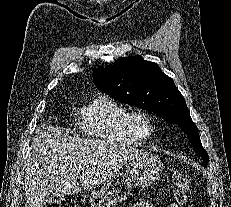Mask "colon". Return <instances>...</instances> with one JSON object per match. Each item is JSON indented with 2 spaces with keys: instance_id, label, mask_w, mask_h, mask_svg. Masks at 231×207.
Here are the masks:
<instances>
[{
  "instance_id": "5ec220e1",
  "label": "colon",
  "mask_w": 231,
  "mask_h": 207,
  "mask_svg": "<svg viewBox=\"0 0 231 207\" xmlns=\"http://www.w3.org/2000/svg\"><path fill=\"white\" fill-rule=\"evenodd\" d=\"M173 182V207L182 206L186 200L188 192L191 188V176L183 170H176L172 173ZM46 207H76L70 198L55 199L47 203Z\"/></svg>"
}]
</instances>
